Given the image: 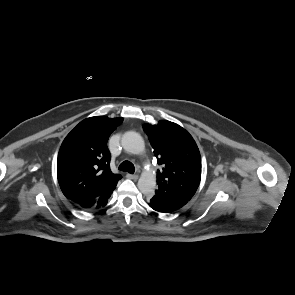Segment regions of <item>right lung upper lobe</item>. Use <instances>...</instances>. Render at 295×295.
Instances as JSON below:
<instances>
[{
    "instance_id": "obj_1",
    "label": "right lung upper lobe",
    "mask_w": 295,
    "mask_h": 295,
    "mask_svg": "<svg viewBox=\"0 0 295 295\" xmlns=\"http://www.w3.org/2000/svg\"><path fill=\"white\" fill-rule=\"evenodd\" d=\"M123 118L95 116L81 121L64 139L57 159L63 194L75 203L90 201L121 179L110 170L107 141Z\"/></svg>"
}]
</instances>
